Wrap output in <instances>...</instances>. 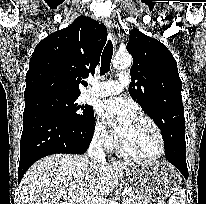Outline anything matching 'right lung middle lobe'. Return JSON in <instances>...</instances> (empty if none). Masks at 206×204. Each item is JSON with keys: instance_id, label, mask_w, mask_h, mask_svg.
I'll list each match as a JSON object with an SVG mask.
<instances>
[{"instance_id": "obj_1", "label": "right lung middle lobe", "mask_w": 206, "mask_h": 204, "mask_svg": "<svg viewBox=\"0 0 206 204\" xmlns=\"http://www.w3.org/2000/svg\"><path fill=\"white\" fill-rule=\"evenodd\" d=\"M79 96L57 93H41L25 98L24 113L32 110H47L74 123H83L94 117L93 107L80 106L76 102Z\"/></svg>"}]
</instances>
